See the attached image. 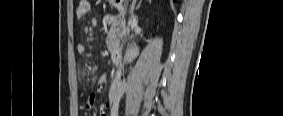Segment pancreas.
<instances>
[{"label":"pancreas","instance_id":"1","mask_svg":"<svg viewBox=\"0 0 283 116\" xmlns=\"http://www.w3.org/2000/svg\"><path fill=\"white\" fill-rule=\"evenodd\" d=\"M106 23L110 26V30L107 33L106 45L109 51H113L120 40L129 32V29L120 17H109Z\"/></svg>","mask_w":283,"mask_h":116}]
</instances>
